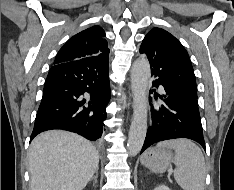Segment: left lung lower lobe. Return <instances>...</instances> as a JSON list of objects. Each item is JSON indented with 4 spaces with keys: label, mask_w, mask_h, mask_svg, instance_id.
I'll return each mask as SVG.
<instances>
[{
    "label": "left lung lower lobe",
    "mask_w": 234,
    "mask_h": 190,
    "mask_svg": "<svg viewBox=\"0 0 234 190\" xmlns=\"http://www.w3.org/2000/svg\"><path fill=\"white\" fill-rule=\"evenodd\" d=\"M140 53L147 55L151 75L157 77L152 87L158 88L162 85L164 88L161 95L156 93V89L150 90V93H154L155 98L162 99L163 103L155 108L151 104L153 123L147 131L141 153L156 142L176 138L192 139L206 149L198 103L190 100L171 83L168 64L160 55L142 49Z\"/></svg>",
    "instance_id": "left-lung-lower-lobe-1"
}]
</instances>
